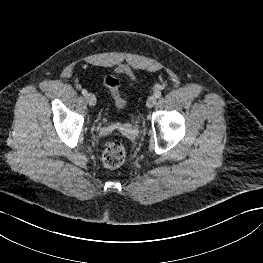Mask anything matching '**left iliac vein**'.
<instances>
[{
    "instance_id": "4c4485c4",
    "label": "left iliac vein",
    "mask_w": 263,
    "mask_h": 263,
    "mask_svg": "<svg viewBox=\"0 0 263 263\" xmlns=\"http://www.w3.org/2000/svg\"><path fill=\"white\" fill-rule=\"evenodd\" d=\"M155 104H156V97H155V96H150V97L147 99L146 106H147L148 108H152Z\"/></svg>"
}]
</instances>
